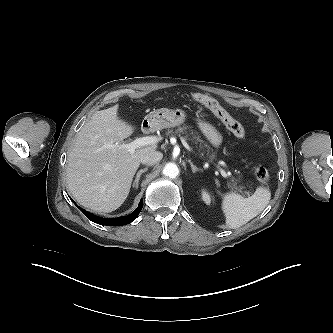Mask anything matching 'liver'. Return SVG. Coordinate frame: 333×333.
<instances>
[{"label":"liver","instance_id":"obj_1","mask_svg":"<svg viewBox=\"0 0 333 333\" xmlns=\"http://www.w3.org/2000/svg\"><path fill=\"white\" fill-rule=\"evenodd\" d=\"M118 105L96 111L78 132L67 159L66 181L72 196L82 206L112 212L126 200L143 155L157 145L133 153L115 147L136 127L118 116Z\"/></svg>","mask_w":333,"mask_h":333}]
</instances>
